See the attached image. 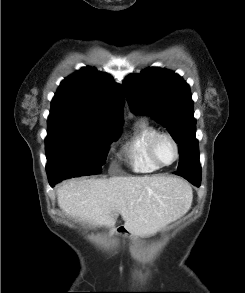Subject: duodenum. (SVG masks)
<instances>
[{"mask_svg":"<svg viewBox=\"0 0 245 293\" xmlns=\"http://www.w3.org/2000/svg\"><path fill=\"white\" fill-rule=\"evenodd\" d=\"M115 230H116V233H117L118 235H122V236H123V235L128 234V230H127V228L124 227V226L116 227Z\"/></svg>","mask_w":245,"mask_h":293,"instance_id":"1","label":"duodenum"}]
</instances>
